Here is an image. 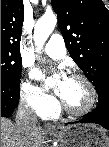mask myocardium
Listing matches in <instances>:
<instances>
[{
  "mask_svg": "<svg viewBox=\"0 0 109 147\" xmlns=\"http://www.w3.org/2000/svg\"><path fill=\"white\" fill-rule=\"evenodd\" d=\"M69 78L82 80L90 90L91 99H90L89 104L86 107L76 110V109L70 108L66 104V102L62 98H60V108L62 110H64L67 114L72 115V116L85 115V114L89 113L95 107V105L97 103L98 94H97L96 88L93 85V83L91 82V80L86 75H84L82 73H78V72L72 73V74H70Z\"/></svg>",
  "mask_w": 109,
  "mask_h": 147,
  "instance_id": "myocardium-1",
  "label": "myocardium"
}]
</instances>
